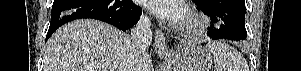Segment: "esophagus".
<instances>
[{"mask_svg": "<svg viewBox=\"0 0 301 71\" xmlns=\"http://www.w3.org/2000/svg\"><path fill=\"white\" fill-rule=\"evenodd\" d=\"M154 47L160 57L169 55L164 33L160 30L155 31Z\"/></svg>", "mask_w": 301, "mask_h": 71, "instance_id": "obj_1", "label": "esophagus"}]
</instances>
